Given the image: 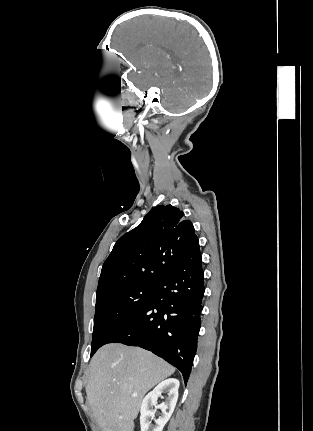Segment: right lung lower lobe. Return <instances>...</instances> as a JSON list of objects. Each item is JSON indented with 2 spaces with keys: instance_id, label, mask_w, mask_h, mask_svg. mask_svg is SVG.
<instances>
[{
  "instance_id": "obj_1",
  "label": "right lung lower lobe",
  "mask_w": 313,
  "mask_h": 431,
  "mask_svg": "<svg viewBox=\"0 0 313 431\" xmlns=\"http://www.w3.org/2000/svg\"><path fill=\"white\" fill-rule=\"evenodd\" d=\"M198 239L142 307L107 341L139 346L178 368L188 381L197 349L203 270Z\"/></svg>"
}]
</instances>
